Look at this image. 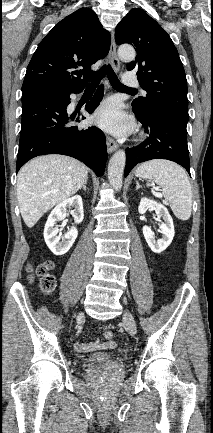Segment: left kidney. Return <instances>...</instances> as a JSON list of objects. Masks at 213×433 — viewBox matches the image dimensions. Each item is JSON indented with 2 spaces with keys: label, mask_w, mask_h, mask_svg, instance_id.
Segmentation results:
<instances>
[{
  "label": "left kidney",
  "mask_w": 213,
  "mask_h": 433,
  "mask_svg": "<svg viewBox=\"0 0 213 433\" xmlns=\"http://www.w3.org/2000/svg\"><path fill=\"white\" fill-rule=\"evenodd\" d=\"M148 209L155 210L158 219L160 220V218H162L164 220V223L160 225L163 237L158 241L154 239V234L151 228L148 226L143 227V235L150 249L154 253H161L171 244L173 240L175 234L173 220L164 205L154 200L142 198L138 207L139 213L145 214Z\"/></svg>",
  "instance_id": "1"
}]
</instances>
